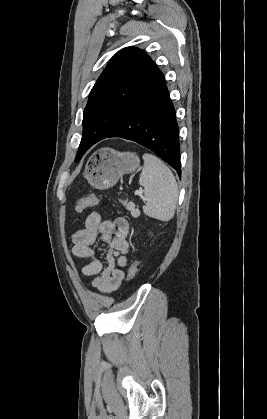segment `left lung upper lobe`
Wrapping results in <instances>:
<instances>
[{
    "instance_id": "5c2ea615",
    "label": "left lung upper lobe",
    "mask_w": 267,
    "mask_h": 419,
    "mask_svg": "<svg viewBox=\"0 0 267 419\" xmlns=\"http://www.w3.org/2000/svg\"><path fill=\"white\" fill-rule=\"evenodd\" d=\"M160 72L151 58L138 48L117 52L93 86L83 112V136L75 161L87 151L91 137L116 111H125L143 89ZM91 136V137H89Z\"/></svg>"
}]
</instances>
